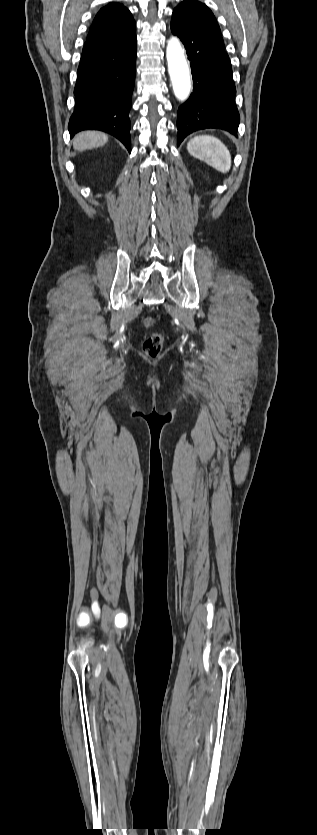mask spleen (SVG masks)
Instances as JSON below:
<instances>
[{
  "instance_id": "spleen-1",
  "label": "spleen",
  "mask_w": 317,
  "mask_h": 835,
  "mask_svg": "<svg viewBox=\"0 0 317 835\" xmlns=\"http://www.w3.org/2000/svg\"><path fill=\"white\" fill-rule=\"evenodd\" d=\"M188 152L195 158L221 173H228L231 168V155L228 148L218 138L199 135L187 143Z\"/></svg>"
}]
</instances>
